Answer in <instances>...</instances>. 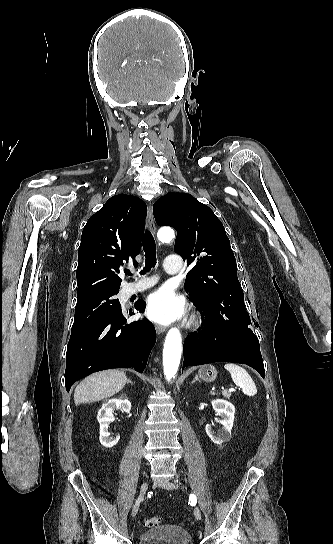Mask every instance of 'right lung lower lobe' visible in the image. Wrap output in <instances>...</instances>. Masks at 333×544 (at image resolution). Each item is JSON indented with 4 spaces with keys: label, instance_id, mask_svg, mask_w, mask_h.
<instances>
[{
    "label": "right lung lower lobe",
    "instance_id": "right-lung-lower-lobe-1",
    "mask_svg": "<svg viewBox=\"0 0 333 544\" xmlns=\"http://www.w3.org/2000/svg\"><path fill=\"white\" fill-rule=\"evenodd\" d=\"M145 306L143 300L135 304L139 312H144ZM126 322L120 310L71 332L65 370L68 392L74 382L100 370L134 368L140 373L144 371L156 341L155 328L147 319Z\"/></svg>",
    "mask_w": 333,
    "mask_h": 544
}]
</instances>
